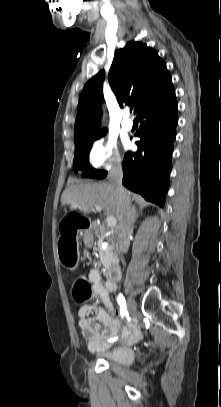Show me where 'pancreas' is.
Segmentation results:
<instances>
[{"mask_svg":"<svg viewBox=\"0 0 221 407\" xmlns=\"http://www.w3.org/2000/svg\"><path fill=\"white\" fill-rule=\"evenodd\" d=\"M105 239L108 240V242H110V243L113 240V233L111 231H109L108 229H103L100 231V235H99L100 242ZM98 250H99V255H100L102 264L104 265L105 268H109L113 261L112 244H110L106 250H103L101 248V245L99 244Z\"/></svg>","mask_w":221,"mask_h":407,"instance_id":"cf45deb5","label":"pancreas"}]
</instances>
